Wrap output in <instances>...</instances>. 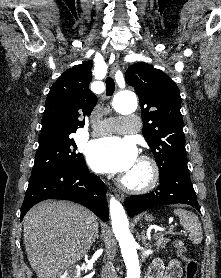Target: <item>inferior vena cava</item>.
<instances>
[{"mask_svg": "<svg viewBox=\"0 0 221 278\" xmlns=\"http://www.w3.org/2000/svg\"><path fill=\"white\" fill-rule=\"evenodd\" d=\"M101 278H117V274L114 266L111 264H106L102 268Z\"/></svg>", "mask_w": 221, "mask_h": 278, "instance_id": "obj_1", "label": "inferior vena cava"}]
</instances>
